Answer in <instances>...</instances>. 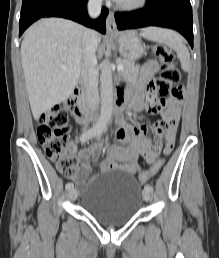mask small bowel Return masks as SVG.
Wrapping results in <instances>:
<instances>
[{"label": "small bowel", "instance_id": "small-bowel-1", "mask_svg": "<svg viewBox=\"0 0 219 258\" xmlns=\"http://www.w3.org/2000/svg\"><path fill=\"white\" fill-rule=\"evenodd\" d=\"M159 69L156 61L146 62L141 70L138 83L126 89L120 88L118 94L122 97H131V111L129 116L143 109V90L153 80ZM183 98V97H182ZM182 98L170 97L166 101H159L154 92L147 90L146 109L152 113H161L163 119L154 124L153 129L157 135V140L151 141L144 137L148 125L145 123L131 126L120 115L117 119L116 136L120 141V146L113 147L106 159L100 164V171L123 170L128 173H139L141 171L138 157L142 156L148 164L154 161L164 143V152L170 153L174 147L176 130L180 118ZM165 106L167 108H165ZM162 139V141H161ZM102 145L94 143L89 148H82L78 151V170L73 176L74 182L80 187H86L90 181L89 160H97L100 156Z\"/></svg>", "mask_w": 219, "mask_h": 258}]
</instances>
